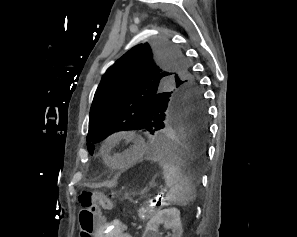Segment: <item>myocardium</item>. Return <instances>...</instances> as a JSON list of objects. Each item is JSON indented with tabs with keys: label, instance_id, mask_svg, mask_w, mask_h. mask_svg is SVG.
Masks as SVG:
<instances>
[{
	"label": "myocardium",
	"instance_id": "1",
	"mask_svg": "<svg viewBox=\"0 0 297 237\" xmlns=\"http://www.w3.org/2000/svg\"><path fill=\"white\" fill-rule=\"evenodd\" d=\"M127 145H128V143L126 141H120V142L116 143L114 151L122 152L126 148Z\"/></svg>",
	"mask_w": 297,
	"mask_h": 237
}]
</instances>
